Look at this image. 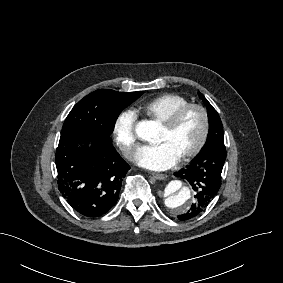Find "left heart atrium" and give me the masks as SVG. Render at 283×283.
I'll return each instance as SVG.
<instances>
[{"label":"left heart atrium","instance_id":"obj_1","mask_svg":"<svg viewBox=\"0 0 283 283\" xmlns=\"http://www.w3.org/2000/svg\"><path fill=\"white\" fill-rule=\"evenodd\" d=\"M180 159L166 142L140 147L134 162L137 166L150 171H163L174 166Z\"/></svg>","mask_w":283,"mask_h":283}]
</instances>
